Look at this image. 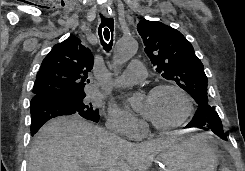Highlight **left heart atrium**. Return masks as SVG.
I'll list each match as a JSON object with an SVG mask.
<instances>
[{
	"instance_id": "1",
	"label": "left heart atrium",
	"mask_w": 245,
	"mask_h": 171,
	"mask_svg": "<svg viewBox=\"0 0 245 171\" xmlns=\"http://www.w3.org/2000/svg\"><path fill=\"white\" fill-rule=\"evenodd\" d=\"M143 114L147 117L150 118V112L147 106L143 108Z\"/></svg>"
}]
</instances>
